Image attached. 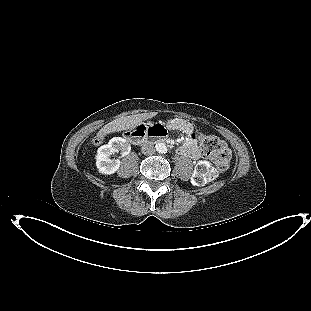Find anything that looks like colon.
<instances>
[{"instance_id": "obj_1", "label": "colon", "mask_w": 311, "mask_h": 311, "mask_svg": "<svg viewBox=\"0 0 311 311\" xmlns=\"http://www.w3.org/2000/svg\"><path fill=\"white\" fill-rule=\"evenodd\" d=\"M100 143L101 140L94 139L92 145L98 146ZM200 145L202 153L206 157L210 158L215 165V168H212L208 163L200 162L196 166L193 175V181L197 185H204L209 181H211L212 179H214L217 173L224 172L229 168L232 153L230 148L223 141H221L219 138L215 136L210 135L203 136L201 138Z\"/></svg>"}]
</instances>
